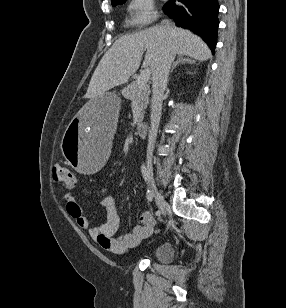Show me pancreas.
<instances>
[{
	"instance_id": "cf45deb5",
	"label": "pancreas",
	"mask_w": 286,
	"mask_h": 308,
	"mask_svg": "<svg viewBox=\"0 0 286 308\" xmlns=\"http://www.w3.org/2000/svg\"><path fill=\"white\" fill-rule=\"evenodd\" d=\"M124 98L136 101L139 105V114L137 123H141L144 117V110L149 103L150 87L148 84L140 86L138 81H133L122 90Z\"/></svg>"
}]
</instances>
